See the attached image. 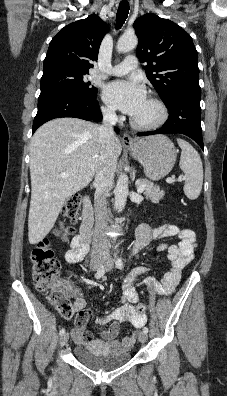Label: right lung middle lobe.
<instances>
[{
	"mask_svg": "<svg viewBox=\"0 0 227 396\" xmlns=\"http://www.w3.org/2000/svg\"><path fill=\"white\" fill-rule=\"evenodd\" d=\"M87 74L88 71L69 68L44 70L41 78V94L63 90L86 98H96L97 89L86 79Z\"/></svg>",
	"mask_w": 227,
	"mask_h": 396,
	"instance_id": "1",
	"label": "right lung middle lobe"
}]
</instances>
